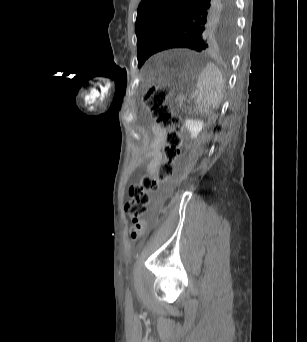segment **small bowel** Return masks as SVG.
I'll return each instance as SVG.
<instances>
[{"mask_svg": "<svg viewBox=\"0 0 307 342\" xmlns=\"http://www.w3.org/2000/svg\"><path fill=\"white\" fill-rule=\"evenodd\" d=\"M153 138L148 145L146 153L140 158V162L149 160L147 165V173L154 174L156 165L162 160L161 148L165 141V130L156 124L151 126Z\"/></svg>", "mask_w": 307, "mask_h": 342, "instance_id": "obj_1", "label": "small bowel"}]
</instances>
